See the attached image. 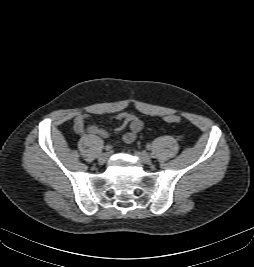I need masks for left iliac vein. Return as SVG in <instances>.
Here are the masks:
<instances>
[{
  "instance_id": "1",
  "label": "left iliac vein",
  "mask_w": 254,
  "mask_h": 267,
  "mask_svg": "<svg viewBox=\"0 0 254 267\" xmlns=\"http://www.w3.org/2000/svg\"><path fill=\"white\" fill-rule=\"evenodd\" d=\"M135 155L144 164H151L152 163L151 157L147 153H145V152L137 151V152H135Z\"/></svg>"
}]
</instances>
